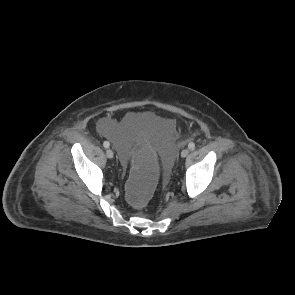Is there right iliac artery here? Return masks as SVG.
<instances>
[{
	"mask_svg": "<svg viewBox=\"0 0 295 295\" xmlns=\"http://www.w3.org/2000/svg\"><path fill=\"white\" fill-rule=\"evenodd\" d=\"M103 146H104L105 148H108V147L110 146V144H109L108 141H104Z\"/></svg>",
	"mask_w": 295,
	"mask_h": 295,
	"instance_id": "82829eb1",
	"label": "right iliac artery"
}]
</instances>
